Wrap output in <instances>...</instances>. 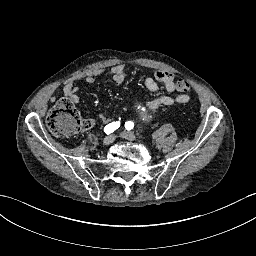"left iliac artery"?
Returning <instances> with one entry per match:
<instances>
[{"label": "left iliac artery", "mask_w": 256, "mask_h": 256, "mask_svg": "<svg viewBox=\"0 0 256 256\" xmlns=\"http://www.w3.org/2000/svg\"><path fill=\"white\" fill-rule=\"evenodd\" d=\"M133 127H134V123L133 122L128 121V122L125 123V128L127 130H131Z\"/></svg>", "instance_id": "obj_1"}]
</instances>
